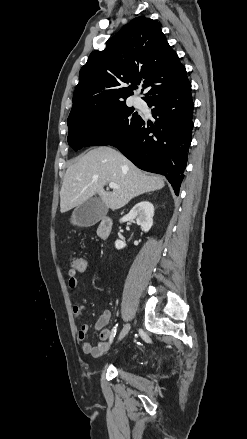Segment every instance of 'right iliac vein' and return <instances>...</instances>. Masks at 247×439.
I'll return each instance as SVG.
<instances>
[{
  "label": "right iliac vein",
  "instance_id": "1",
  "mask_svg": "<svg viewBox=\"0 0 247 439\" xmlns=\"http://www.w3.org/2000/svg\"><path fill=\"white\" fill-rule=\"evenodd\" d=\"M131 326L129 323L125 324L120 335H119V340H122L129 332Z\"/></svg>",
  "mask_w": 247,
  "mask_h": 439
}]
</instances>
